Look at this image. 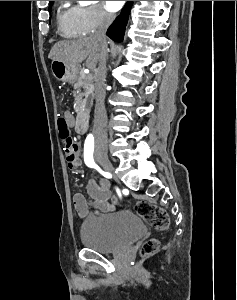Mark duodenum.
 Listing matches in <instances>:
<instances>
[{
    "instance_id": "obj_1",
    "label": "duodenum",
    "mask_w": 237,
    "mask_h": 300,
    "mask_svg": "<svg viewBox=\"0 0 237 300\" xmlns=\"http://www.w3.org/2000/svg\"><path fill=\"white\" fill-rule=\"evenodd\" d=\"M88 129V119L85 115H80L76 121V131L79 134H85Z\"/></svg>"
}]
</instances>
